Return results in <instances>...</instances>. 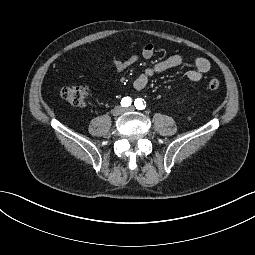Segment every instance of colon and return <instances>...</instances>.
I'll list each match as a JSON object with an SVG mask.
<instances>
[{
    "label": "colon",
    "mask_w": 255,
    "mask_h": 255,
    "mask_svg": "<svg viewBox=\"0 0 255 255\" xmlns=\"http://www.w3.org/2000/svg\"><path fill=\"white\" fill-rule=\"evenodd\" d=\"M210 91H217L220 88V82L217 79H211L207 83ZM62 99L75 106H83L88 96V88L84 85L65 86L59 90Z\"/></svg>",
    "instance_id": "colon-1"
}]
</instances>
